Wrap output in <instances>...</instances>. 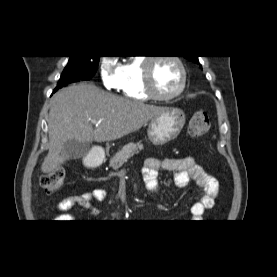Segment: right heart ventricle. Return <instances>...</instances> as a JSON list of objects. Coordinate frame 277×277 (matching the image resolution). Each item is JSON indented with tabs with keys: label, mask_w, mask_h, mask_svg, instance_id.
Returning a JSON list of instances; mask_svg holds the SVG:
<instances>
[{
	"label": "right heart ventricle",
	"mask_w": 277,
	"mask_h": 277,
	"mask_svg": "<svg viewBox=\"0 0 277 277\" xmlns=\"http://www.w3.org/2000/svg\"><path fill=\"white\" fill-rule=\"evenodd\" d=\"M143 57H134L120 67V90L129 99L147 101L150 97L143 88Z\"/></svg>",
	"instance_id": "obj_1"
}]
</instances>
